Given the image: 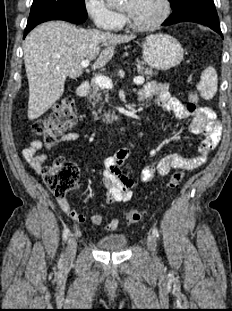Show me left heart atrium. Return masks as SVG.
<instances>
[{"label":"left heart atrium","instance_id":"39dd6f15","mask_svg":"<svg viewBox=\"0 0 232 311\" xmlns=\"http://www.w3.org/2000/svg\"><path fill=\"white\" fill-rule=\"evenodd\" d=\"M131 1H132V3H131V8H130L129 12H131L133 10V6L135 5L137 0H131Z\"/></svg>","mask_w":232,"mask_h":311}]
</instances>
